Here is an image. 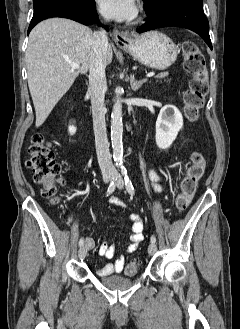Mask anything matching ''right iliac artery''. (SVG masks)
I'll return each instance as SVG.
<instances>
[{
  "mask_svg": "<svg viewBox=\"0 0 240 329\" xmlns=\"http://www.w3.org/2000/svg\"><path fill=\"white\" fill-rule=\"evenodd\" d=\"M115 186H116L115 181H114V180L111 181V183L109 184L108 189H107V196H108L109 194H111V193L114 192V190H115ZM83 245H84V239L81 238V239L79 240V246L81 247V246H83Z\"/></svg>",
  "mask_w": 240,
  "mask_h": 329,
  "instance_id": "1",
  "label": "right iliac artery"
}]
</instances>
